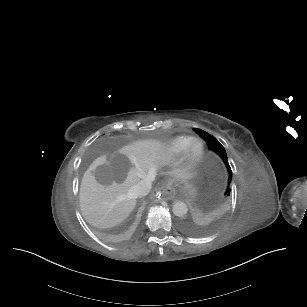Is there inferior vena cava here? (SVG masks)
Wrapping results in <instances>:
<instances>
[{
    "label": "inferior vena cava",
    "mask_w": 307,
    "mask_h": 307,
    "mask_svg": "<svg viewBox=\"0 0 307 307\" xmlns=\"http://www.w3.org/2000/svg\"><path fill=\"white\" fill-rule=\"evenodd\" d=\"M154 178L146 176L132 190L131 193L137 198L150 193Z\"/></svg>",
    "instance_id": "obj_1"
}]
</instances>
